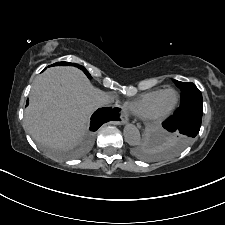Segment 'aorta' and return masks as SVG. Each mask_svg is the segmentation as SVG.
<instances>
[{
	"label": "aorta",
	"mask_w": 225,
	"mask_h": 225,
	"mask_svg": "<svg viewBox=\"0 0 225 225\" xmlns=\"http://www.w3.org/2000/svg\"><path fill=\"white\" fill-rule=\"evenodd\" d=\"M124 138L125 141L131 145L135 146L140 143L141 137H140V132L138 128L132 124H127L124 127Z\"/></svg>",
	"instance_id": "762f6f07"
}]
</instances>
